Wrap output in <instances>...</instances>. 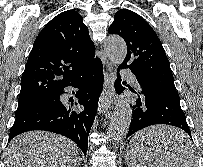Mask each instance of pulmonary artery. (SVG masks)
<instances>
[{
    "label": "pulmonary artery",
    "instance_id": "obj_1",
    "mask_svg": "<svg viewBox=\"0 0 203 167\" xmlns=\"http://www.w3.org/2000/svg\"><path fill=\"white\" fill-rule=\"evenodd\" d=\"M122 75L127 78L132 84H137L136 77L129 71V70H123Z\"/></svg>",
    "mask_w": 203,
    "mask_h": 167
}]
</instances>
